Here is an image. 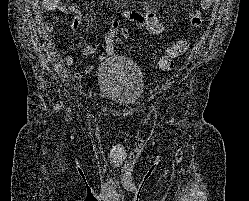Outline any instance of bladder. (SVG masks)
Listing matches in <instances>:
<instances>
[{
	"mask_svg": "<svg viewBox=\"0 0 249 201\" xmlns=\"http://www.w3.org/2000/svg\"><path fill=\"white\" fill-rule=\"evenodd\" d=\"M96 75L105 99L115 105L131 107L143 93L141 69L127 57H107L98 66Z\"/></svg>",
	"mask_w": 249,
	"mask_h": 201,
	"instance_id": "31cf9c89",
	"label": "bladder"
}]
</instances>
